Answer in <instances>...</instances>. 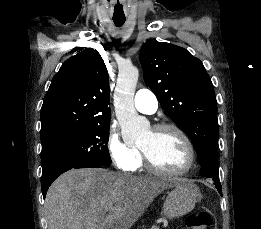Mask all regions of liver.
<instances>
[{
  "label": "liver",
  "mask_w": 261,
  "mask_h": 229,
  "mask_svg": "<svg viewBox=\"0 0 261 229\" xmlns=\"http://www.w3.org/2000/svg\"><path fill=\"white\" fill-rule=\"evenodd\" d=\"M171 187L172 181L157 177L119 175L107 169H71L52 183L46 195L47 227L130 229L155 197Z\"/></svg>",
  "instance_id": "1"
}]
</instances>
